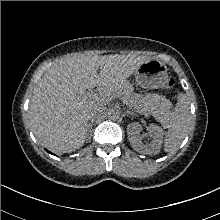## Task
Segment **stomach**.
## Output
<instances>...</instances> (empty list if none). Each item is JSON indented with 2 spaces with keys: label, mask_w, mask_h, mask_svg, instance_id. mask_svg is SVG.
Instances as JSON below:
<instances>
[{
  "label": "stomach",
  "mask_w": 220,
  "mask_h": 220,
  "mask_svg": "<svg viewBox=\"0 0 220 220\" xmlns=\"http://www.w3.org/2000/svg\"><path fill=\"white\" fill-rule=\"evenodd\" d=\"M133 75L136 82L143 88H162L168 81V68L159 60H148L142 63L133 73ZM155 99L156 97H150V99L147 101L148 105H142L138 107L144 110L147 108L152 110L149 102Z\"/></svg>",
  "instance_id": "stomach-1"
}]
</instances>
